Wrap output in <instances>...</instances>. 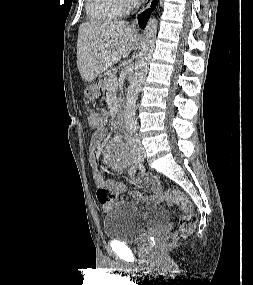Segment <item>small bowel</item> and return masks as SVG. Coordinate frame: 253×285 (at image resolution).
Returning <instances> with one entry per match:
<instances>
[{"label":"small bowel","mask_w":253,"mask_h":285,"mask_svg":"<svg viewBox=\"0 0 253 285\" xmlns=\"http://www.w3.org/2000/svg\"><path fill=\"white\" fill-rule=\"evenodd\" d=\"M102 124L98 127H95V132L93 133L89 147H88V155L90 158V161L92 165L94 166V172H93V178L98 187H107L112 189L116 194L118 193H125L127 191V188L124 184L120 182H116L114 180H106L104 176L101 174L99 169L97 168V154L101 150L103 146V142L107 136L108 129L105 126L106 117L105 114L99 115ZM131 170V169H130ZM128 176L129 171L127 172ZM134 180L136 183L147 186L151 189L150 194L148 195H142L139 192H132V197L137 201H144L154 204H159L163 200V191L160 185L159 180L154 177L147 174H142L137 176ZM109 208V203L103 204V209L107 210Z\"/></svg>","instance_id":"1"}]
</instances>
